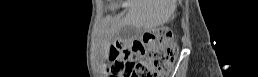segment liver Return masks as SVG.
Instances as JSON below:
<instances>
[{
  "label": "liver",
  "mask_w": 258,
  "mask_h": 77,
  "mask_svg": "<svg viewBox=\"0 0 258 77\" xmlns=\"http://www.w3.org/2000/svg\"><path fill=\"white\" fill-rule=\"evenodd\" d=\"M174 6V0H126L125 21L137 28H154L165 22Z\"/></svg>",
  "instance_id": "liver-1"
}]
</instances>
